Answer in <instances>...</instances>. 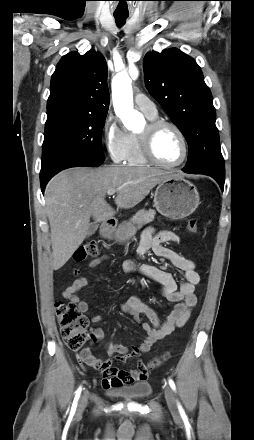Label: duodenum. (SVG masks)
Returning a JSON list of instances; mask_svg holds the SVG:
<instances>
[{"label": "duodenum", "instance_id": "1", "mask_svg": "<svg viewBox=\"0 0 254 440\" xmlns=\"http://www.w3.org/2000/svg\"><path fill=\"white\" fill-rule=\"evenodd\" d=\"M116 224H117V221L115 218H113V217L108 218L101 229L102 235L103 236L110 235L112 233L113 229L115 228Z\"/></svg>", "mask_w": 254, "mask_h": 440}]
</instances>
